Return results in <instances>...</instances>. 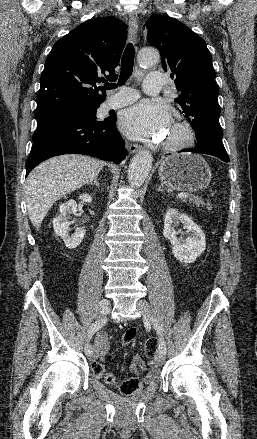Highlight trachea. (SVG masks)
Returning <instances> with one entry per match:
<instances>
[{"label": "trachea", "mask_w": 257, "mask_h": 439, "mask_svg": "<svg viewBox=\"0 0 257 439\" xmlns=\"http://www.w3.org/2000/svg\"><path fill=\"white\" fill-rule=\"evenodd\" d=\"M134 47L131 43H129L125 51L123 53L122 59H121V72L119 76V82L118 85L122 86L125 84V82L129 79V77L132 75L133 72V64H134ZM116 84L112 83H105L104 89H114L116 88Z\"/></svg>", "instance_id": "1"}]
</instances>
